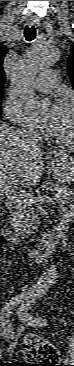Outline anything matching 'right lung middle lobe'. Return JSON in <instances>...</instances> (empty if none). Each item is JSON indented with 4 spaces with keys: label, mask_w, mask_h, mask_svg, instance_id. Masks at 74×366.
I'll return each mask as SVG.
<instances>
[{
    "label": "right lung middle lobe",
    "mask_w": 74,
    "mask_h": 366,
    "mask_svg": "<svg viewBox=\"0 0 74 366\" xmlns=\"http://www.w3.org/2000/svg\"><path fill=\"white\" fill-rule=\"evenodd\" d=\"M2 100V91L0 92V101Z\"/></svg>",
    "instance_id": "obj_1"
}]
</instances>
